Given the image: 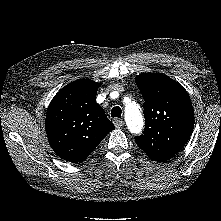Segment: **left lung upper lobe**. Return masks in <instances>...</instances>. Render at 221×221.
<instances>
[{
  "label": "left lung upper lobe",
  "instance_id": "obj_1",
  "mask_svg": "<svg viewBox=\"0 0 221 221\" xmlns=\"http://www.w3.org/2000/svg\"><path fill=\"white\" fill-rule=\"evenodd\" d=\"M136 84L145 100V129L136 144L153 161L164 162L178 153L189 140L194 110L187 91L163 74L144 73Z\"/></svg>",
  "mask_w": 221,
  "mask_h": 221
}]
</instances>
